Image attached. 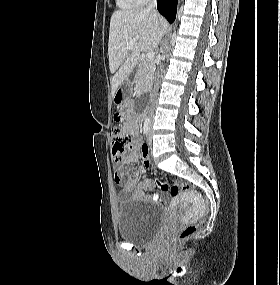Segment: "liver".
<instances>
[{"label":"liver","instance_id":"1","mask_svg":"<svg viewBox=\"0 0 280 285\" xmlns=\"http://www.w3.org/2000/svg\"><path fill=\"white\" fill-rule=\"evenodd\" d=\"M168 29L167 21L155 10L135 8L118 10L112 14L109 29L108 56L112 96L119 85L129 77L140 53L153 51ZM138 37L133 48L127 44Z\"/></svg>","mask_w":280,"mask_h":285}]
</instances>
